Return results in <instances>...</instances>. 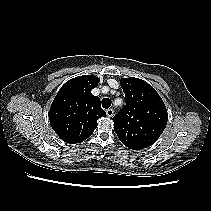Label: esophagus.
Wrapping results in <instances>:
<instances>
[{
	"label": "esophagus",
	"mask_w": 211,
	"mask_h": 211,
	"mask_svg": "<svg viewBox=\"0 0 211 211\" xmlns=\"http://www.w3.org/2000/svg\"><path fill=\"white\" fill-rule=\"evenodd\" d=\"M106 114L108 117H112L114 115V110L112 108H109L106 110Z\"/></svg>",
	"instance_id": "1"
}]
</instances>
